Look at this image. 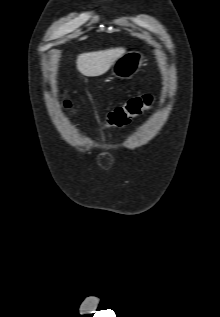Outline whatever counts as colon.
<instances>
[{"label":"colon","instance_id":"colon-1","mask_svg":"<svg viewBox=\"0 0 220 317\" xmlns=\"http://www.w3.org/2000/svg\"><path fill=\"white\" fill-rule=\"evenodd\" d=\"M154 102L151 94H144L130 98L124 104L112 109L102 125L104 129L121 128L128 125L132 119L148 110ZM62 107L69 114H73V106L69 100H62Z\"/></svg>","mask_w":220,"mask_h":317}]
</instances>
